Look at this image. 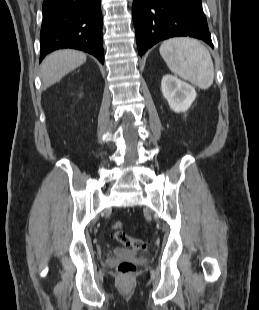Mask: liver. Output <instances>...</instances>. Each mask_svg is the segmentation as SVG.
<instances>
[{
    "mask_svg": "<svg viewBox=\"0 0 259 310\" xmlns=\"http://www.w3.org/2000/svg\"><path fill=\"white\" fill-rule=\"evenodd\" d=\"M85 61V53L71 49L58 50L49 54L41 65L40 75L43 86L45 88L52 86Z\"/></svg>",
    "mask_w": 259,
    "mask_h": 310,
    "instance_id": "liver-1",
    "label": "liver"
}]
</instances>
